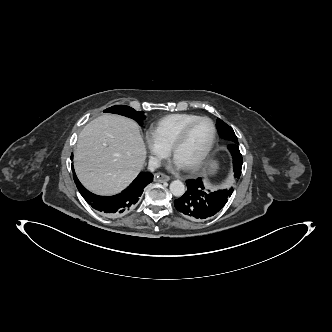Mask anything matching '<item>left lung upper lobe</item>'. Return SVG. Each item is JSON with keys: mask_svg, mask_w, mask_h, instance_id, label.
I'll list each match as a JSON object with an SVG mask.
<instances>
[{"mask_svg": "<svg viewBox=\"0 0 332 332\" xmlns=\"http://www.w3.org/2000/svg\"><path fill=\"white\" fill-rule=\"evenodd\" d=\"M216 126H217V130H218L220 137L231 141L232 144H234V145L238 144L237 137H236L233 129L229 125H227L225 122H223L222 120H220L218 118ZM232 144H230L228 146V149L230 150V152L233 156V159H234L233 168H234V172H235V177L239 178V176L241 175V171H240V169H238L237 163L235 162V153L232 150V146H231ZM229 190H232V188Z\"/></svg>", "mask_w": 332, "mask_h": 332, "instance_id": "left-lung-upper-lobe-1", "label": "left lung upper lobe"}]
</instances>
